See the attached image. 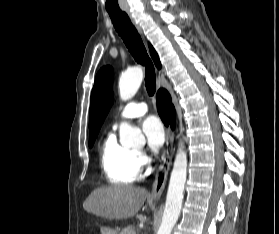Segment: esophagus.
<instances>
[{
  "label": "esophagus",
  "mask_w": 279,
  "mask_h": 234,
  "mask_svg": "<svg viewBox=\"0 0 279 234\" xmlns=\"http://www.w3.org/2000/svg\"><path fill=\"white\" fill-rule=\"evenodd\" d=\"M127 14L131 18L133 24L137 28L140 35L143 36L140 26L134 22L129 11H127ZM173 141H174V137H173L172 130L170 127H168L166 130V148L162 156V164L160 165L157 171L156 178L151 191V197L153 198H159L162 195L163 190L165 188L168 172L172 163Z\"/></svg>",
  "instance_id": "obj_1"
}]
</instances>
